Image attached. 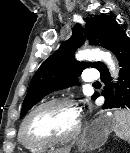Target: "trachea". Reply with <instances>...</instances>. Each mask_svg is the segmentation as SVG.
Segmentation results:
<instances>
[{
  "label": "trachea",
  "instance_id": "3493384b",
  "mask_svg": "<svg viewBox=\"0 0 130 153\" xmlns=\"http://www.w3.org/2000/svg\"><path fill=\"white\" fill-rule=\"evenodd\" d=\"M93 85H100V83L99 82H95V83H93Z\"/></svg>",
  "mask_w": 130,
  "mask_h": 153
}]
</instances>
